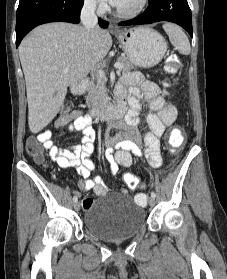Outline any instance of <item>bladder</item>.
<instances>
[{
	"instance_id": "31cf9c89",
	"label": "bladder",
	"mask_w": 227,
	"mask_h": 279,
	"mask_svg": "<svg viewBox=\"0 0 227 279\" xmlns=\"http://www.w3.org/2000/svg\"><path fill=\"white\" fill-rule=\"evenodd\" d=\"M145 219L144 209L129 196L105 194L85 213L84 226L101 240L119 241L137 234Z\"/></svg>"
}]
</instances>
